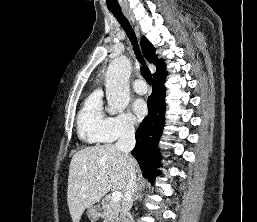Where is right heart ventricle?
<instances>
[{
	"label": "right heart ventricle",
	"mask_w": 257,
	"mask_h": 222,
	"mask_svg": "<svg viewBox=\"0 0 257 222\" xmlns=\"http://www.w3.org/2000/svg\"><path fill=\"white\" fill-rule=\"evenodd\" d=\"M108 116L103 108L102 94L94 91L85 100L77 118L79 137L87 144L106 142L103 131Z\"/></svg>",
	"instance_id": "e07e8e85"
}]
</instances>
